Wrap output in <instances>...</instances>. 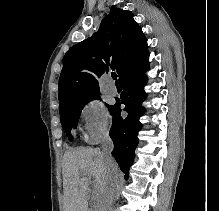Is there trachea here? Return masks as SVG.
Segmentation results:
<instances>
[{"label": "trachea", "instance_id": "1", "mask_svg": "<svg viewBox=\"0 0 219 211\" xmlns=\"http://www.w3.org/2000/svg\"><path fill=\"white\" fill-rule=\"evenodd\" d=\"M112 78L114 79V80H116L115 81V84H116V86H120V83H119V81L116 79V73H114V72H112Z\"/></svg>", "mask_w": 219, "mask_h": 211}]
</instances>
